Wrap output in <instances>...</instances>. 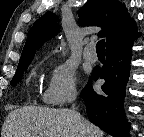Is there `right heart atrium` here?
Segmentation results:
<instances>
[{
  "instance_id": "obj_1",
  "label": "right heart atrium",
  "mask_w": 144,
  "mask_h": 137,
  "mask_svg": "<svg viewBox=\"0 0 144 137\" xmlns=\"http://www.w3.org/2000/svg\"><path fill=\"white\" fill-rule=\"evenodd\" d=\"M76 94L75 70L67 63L54 65L43 90V101L49 105H61L74 99Z\"/></svg>"
}]
</instances>
